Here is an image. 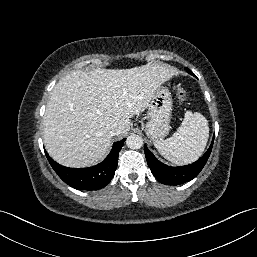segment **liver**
Returning <instances> with one entry per match:
<instances>
[{"mask_svg": "<svg viewBox=\"0 0 257 257\" xmlns=\"http://www.w3.org/2000/svg\"><path fill=\"white\" fill-rule=\"evenodd\" d=\"M176 75L168 65L146 64L131 69L76 70L51 91L43 118L44 144L49 155L67 167L100 162L112 142L130 129V118L142 113L154 91Z\"/></svg>", "mask_w": 257, "mask_h": 257, "instance_id": "6515ba94", "label": "liver"}]
</instances>
